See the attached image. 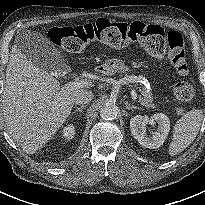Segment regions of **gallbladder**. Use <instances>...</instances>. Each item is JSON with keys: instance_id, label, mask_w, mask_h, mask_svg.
<instances>
[{"instance_id": "1", "label": "gallbladder", "mask_w": 205, "mask_h": 205, "mask_svg": "<svg viewBox=\"0 0 205 205\" xmlns=\"http://www.w3.org/2000/svg\"><path fill=\"white\" fill-rule=\"evenodd\" d=\"M16 44L28 60L41 70L54 72L65 69L64 60L58 49L41 34L22 30L16 36Z\"/></svg>"}]
</instances>
